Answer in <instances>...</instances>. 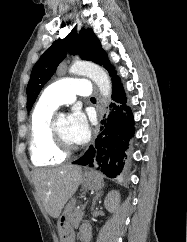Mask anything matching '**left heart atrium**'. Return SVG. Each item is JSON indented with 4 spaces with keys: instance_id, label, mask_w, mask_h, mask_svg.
<instances>
[{
    "instance_id": "obj_1",
    "label": "left heart atrium",
    "mask_w": 187,
    "mask_h": 242,
    "mask_svg": "<svg viewBox=\"0 0 187 242\" xmlns=\"http://www.w3.org/2000/svg\"><path fill=\"white\" fill-rule=\"evenodd\" d=\"M67 135L73 144H82L90 135L86 116L79 109H75L67 118Z\"/></svg>"
}]
</instances>
